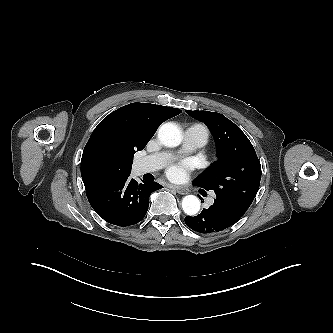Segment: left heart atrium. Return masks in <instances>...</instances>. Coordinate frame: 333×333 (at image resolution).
I'll list each match as a JSON object with an SVG mask.
<instances>
[{
	"label": "left heart atrium",
	"mask_w": 333,
	"mask_h": 333,
	"mask_svg": "<svg viewBox=\"0 0 333 333\" xmlns=\"http://www.w3.org/2000/svg\"><path fill=\"white\" fill-rule=\"evenodd\" d=\"M188 168L189 164L186 162L172 165L168 168L167 175L172 180H183L186 176Z\"/></svg>",
	"instance_id": "obj_1"
}]
</instances>
